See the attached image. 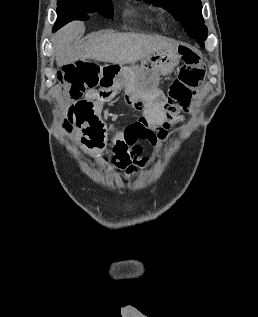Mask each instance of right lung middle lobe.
Returning a JSON list of instances; mask_svg holds the SVG:
<instances>
[{"label": "right lung middle lobe", "mask_w": 258, "mask_h": 317, "mask_svg": "<svg viewBox=\"0 0 258 317\" xmlns=\"http://www.w3.org/2000/svg\"><path fill=\"white\" fill-rule=\"evenodd\" d=\"M57 5L58 7L67 5L75 6L88 13L99 12L100 15L106 18H113L111 0H58Z\"/></svg>", "instance_id": "right-lung-middle-lobe-1"}]
</instances>
